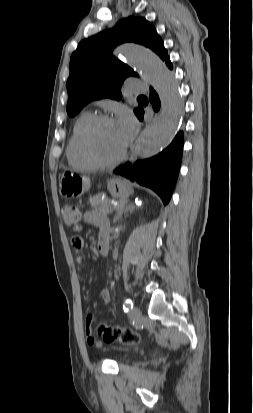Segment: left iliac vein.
Here are the masks:
<instances>
[{
  "label": "left iliac vein",
  "mask_w": 253,
  "mask_h": 413,
  "mask_svg": "<svg viewBox=\"0 0 253 413\" xmlns=\"http://www.w3.org/2000/svg\"><path fill=\"white\" fill-rule=\"evenodd\" d=\"M130 316L133 319H139L141 317V310L138 307H134L131 312H130Z\"/></svg>",
  "instance_id": "4c4485c4"
}]
</instances>
